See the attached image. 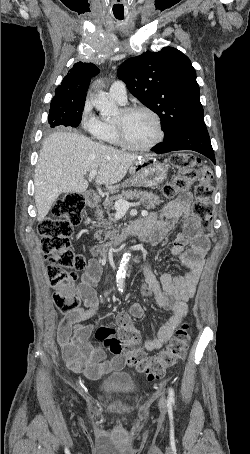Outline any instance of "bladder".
<instances>
[{"instance_id":"1","label":"bladder","mask_w":250,"mask_h":454,"mask_svg":"<svg viewBox=\"0 0 250 454\" xmlns=\"http://www.w3.org/2000/svg\"><path fill=\"white\" fill-rule=\"evenodd\" d=\"M136 386L133 377L128 372H118L100 382V392L107 397L128 396Z\"/></svg>"}]
</instances>
